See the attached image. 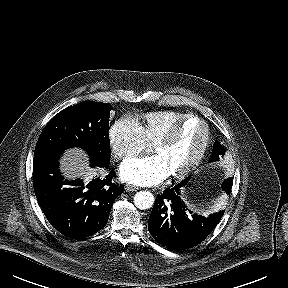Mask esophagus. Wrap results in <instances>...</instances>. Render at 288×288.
<instances>
[{"mask_svg": "<svg viewBox=\"0 0 288 288\" xmlns=\"http://www.w3.org/2000/svg\"><path fill=\"white\" fill-rule=\"evenodd\" d=\"M125 190H126V191H129V192H130V191L133 192V191H137V190H138V187H135V186H132V185H126V186H125Z\"/></svg>", "mask_w": 288, "mask_h": 288, "instance_id": "obj_1", "label": "esophagus"}]
</instances>
